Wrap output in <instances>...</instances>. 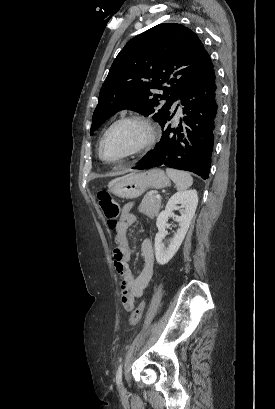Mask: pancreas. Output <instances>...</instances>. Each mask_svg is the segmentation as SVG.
I'll list each match as a JSON object with an SVG mask.
<instances>
[{"label": "pancreas", "instance_id": "1", "mask_svg": "<svg viewBox=\"0 0 275 409\" xmlns=\"http://www.w3.org/2000/svg\"><path fill=\"white\" fill-rule=\"evenodd\" d=\"M160 205L161 198H156V194L150 190L143 196L139 211L150 217V219H154V217H158Z\"/></svg>", "mask_w": 275, "mask_h": 409}]
</instances>
